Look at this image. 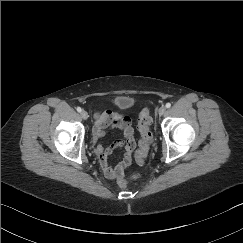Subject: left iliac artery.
<instances>
[{"instance_id":"44dca946","label":"left iliac artery","mask_w":243,"mask_h":243,"mask_svg":"<svg viewBox=\"0 0 243 243\" xmlns=\"http://www.w3.org/2000/svg\"><path fill=\"white\" fill-rule=\"evenodd\" d=\"M171 107V104L170 103H167L166 104V108H170Z\"/></svg>"}]
</instances>
